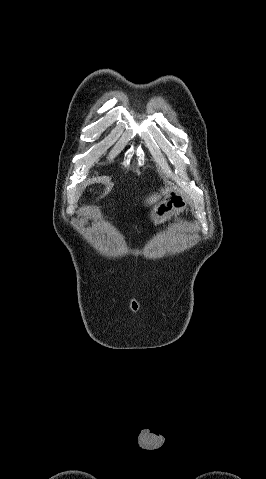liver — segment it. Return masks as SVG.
<instances>
[{"instance_id": "1", "label": "liver", "mask_w": 266, "mask_h": 479, "mask_svg": "<svg viewBox=\"0 0 266 479\" xmlns=\"http://www.w3.org/2000/svg\"><path fill=\"white\" fill-rule=\"evenodd\" d=\"M166 191L162 190V194H164ZM160 198V195L158 194H154L152 195L151 197H149L146 202L147 204L151 205L153 203H155L158 199Z\"/></svg>"}]
</instances>
